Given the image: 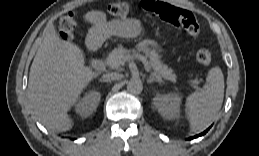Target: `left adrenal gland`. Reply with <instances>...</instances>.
<instances>
[{
	"mask_svg": "<svg viewBox=\"0 0 259 156\" xmlns=\"http://www.w3.org/2000/svg\"><path fill=\"white\" fill-rule=\"evenodd\" d=\"M147 82H148V83H152V82L163 83V80H162L161 77H159V76H157V77L149 76V77L147 78Z\"/></svg>",
	"mask_w": 259,
	"mask_h": 156,
	"instance_id": "left-adrenal-gland-1",
	"label": "left adrenal gland"
}]
</instances>
